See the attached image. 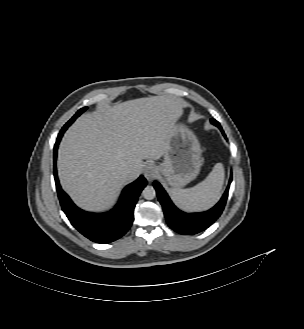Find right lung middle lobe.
I'll use <instances>...</instances> for the list:
<instances>
[{
	"label": "right lung middle lobe",
	"instance_id": "right-lung-middle-lobe-1",
	"mask_svg": "<svg viewBox=\"0 0 304 329\" xmlns=\"http://www.w3.org/2000/svg\"><path fill=\"white\" fill-rule=\"evenodd\" d=\"M86 109L87 107L78 110V112L63 126L62 130L66 131V129L75 121V119L80 116Z\"/></svg>",
	"mask_w": 304,
	"mask_h": 329
}]
</instances>
